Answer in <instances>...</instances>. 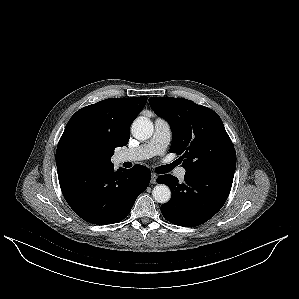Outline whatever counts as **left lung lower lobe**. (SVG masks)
Here are the masks:
<instances>
[{
  "label": "left lung lower lobe",
  "mask_w": 299,
  "mask_h": 299,
  "mask_svg": "<svg viewBox=\"0 0 299 299\" xmlns=\"http://www.w3.org/2000/svg\"><path fill=\"white\" fill-rule=\"evenodd\" d=\"M234 171L201 169L186 171L184 182L161 175L158 183L172 191L171 200L161 206L163 216L173 224L194 227L213 217L224 205L231 190Z\"/></svg>",
  "instance_id": "0a47b994"
}]
</instances>
